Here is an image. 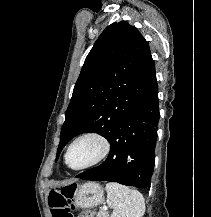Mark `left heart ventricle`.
<instances>
[{"mask_svg": "<svg viewBox=\"0 0 211 217\" xmlns=\"http://www.w3.org/2000/svg\"><path fill=\"white\" fill-rule=\"evenodd\" d=\"M102 150L100 142L94 138H85L71 148L69 163L72 167H81L98 157Z\"/></svg>", "mask_w": 211, "mask_h": 217, "instance_id": "b2bd125f", "label": "left heart ventricle"}]
</instances>
